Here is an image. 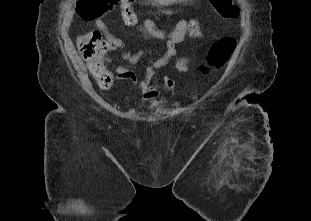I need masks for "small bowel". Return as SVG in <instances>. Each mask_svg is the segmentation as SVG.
Here are the masks:
<instances>
[{
    "label": "small bowel",
    "mask_w": 311,
    "mask_h": 221,
    "mask_svg": "<svg viewBox=\"0 0 311 221\" xmlns=\"http://www.w3.org/2000/svg\"><path fill=\"white\" fill-rule=\"evenodd\" d=\"M158 12L170 18L177 15V12L170 8H158ZM97 25L103 32L109 52L110 46H125V53H122V59L125 62L130 65H135L143 61L147 50L132 52L127 49L125 43L120 38L114 36L108 31L103 22L97 21ZM142 30L148 38L164 41L162 56L157 59L147 60L140 75L132 69L118 64H114V69L120 80L131 82L135 90L141 95L138 102L140 106L147 105L149 107H155L158 103L161 91H171L175 85V80L169 75L163 76L157 80H153V78L155 77L156 72L168 65L176 55V45L182 42L186 35L187 21L185 19H180L177 22L175 29L170 33H167L160 29L152 18L145 17L143 20ZM107 61L112 63L110 59H107ZM188 62L189 59L187 58L179 59L176 64L177 70L179 72L186 71Z\"/></svg>",
    "instance_id": "1"
}]
</instances>
